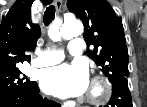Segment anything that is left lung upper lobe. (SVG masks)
<instances>
[{"instance_id":"obj_1","label":"left lung upper lobe","mask_w":147,"mask_h":107,"mask_svg":"<svg viewBox=\"0 0 147 107\" xmlns=\"http://www.w3.org/2000/svg\"><path fill=\"white\" fill-rule=\"evenodd\" d=\"M69 11L82 19L89 56L111 83L128 78V51L121 18L106 0H68Z\"/></svg>"}]
</instances>
